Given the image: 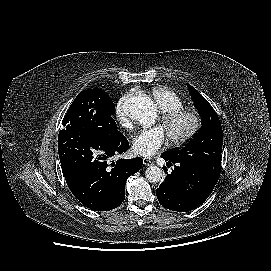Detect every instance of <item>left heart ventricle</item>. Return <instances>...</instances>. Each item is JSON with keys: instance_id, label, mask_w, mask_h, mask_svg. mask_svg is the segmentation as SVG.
Returning a JSON list of instances; mask_svg holds the SVG:
<instances>
[{"instance_id": "obj_1", "label": "left heart ventricle", "mask_w": 271, "mask_h": 271, "mask_svg": "<svg viewBox=\"0 0 271 271\" xmlns=\"http://www.w3.org/2000/svg\"><path fill=\"white\" fill-rule=\"evenodd\" d=\"M187 126H188V120L180 119L174 123L172 127V131L175 133H181L187 128Z\"/></svg>"}]
</instances>
